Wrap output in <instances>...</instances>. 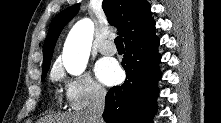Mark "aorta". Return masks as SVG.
<instances>
[{
    "mask_svg": "<svg viewBox=\"0 0 221 123\" xmlns=\"http://www.w3.org/2000/svg\"><path fill=\"white\" fill-rule=\"evenodd\" d=\"M94 35V24L88 19L79 20L70 30L63 48V65L73 75L81 74L88 63Z\"/></svg>",
    "mask_w": 221,
    "mask_h": 123,
    "instance_id": "aorta-1",
    "label": "aorta"
}]
</instances>
